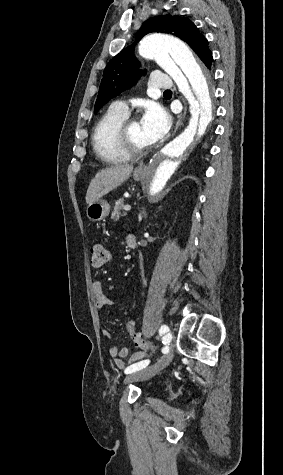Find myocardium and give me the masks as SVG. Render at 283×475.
Returning a JSON list of instances; mask_svg holds the SVG:
<instances>
[{
  "mask_svg": "<svg viewBox=\"0 0 283 475\" xmlns=\"http://www.w3.org/2000/svg\"><path fill=\"white\" fill-rule=\"evenodd\" d=\"M135 118L128 116L117 128L114 141L116 144H128L130 152L118 151L111 153L107 150V145H103L98 150L99 156L107 162H134L145 156L151 148V145L145 148L135 147L130 140V124Z\"/></svg>",
  "mask_w": 283,
  "mask_h": 475,
  "instance_id": "1",
  "label": "myocardium"
}]
</instances>
